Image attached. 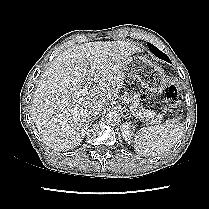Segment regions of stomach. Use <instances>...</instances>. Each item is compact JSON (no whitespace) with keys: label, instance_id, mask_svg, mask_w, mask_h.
I'll return each instance as SVG.
<instances>
[{"label":"stomach","instance_id":"1","mask_svg":"<svg viewBox=\"0 0 209 209\" xmlns=\"http://www.w3.org/2000/svg\"><path fill=\"white\" fill-rule=\"evenodd\" d=\"M128 77L136 78L147 91L161 95L169 82L168 76L160 66L142 56L129 58L126 65Z\"/></svg>","mask_w":209,"mask_h":209}]
</instances>
